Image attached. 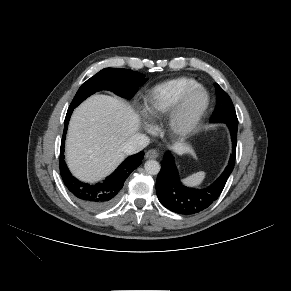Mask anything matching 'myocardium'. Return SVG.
<instances>
[{"label": "myocardium", "instance_id": "myocardium-1", "mask_svg": "<svg viewBox=\"0 0 291 291\" xmlns=\"http://www.w3.org/2000/svg\"><path fill=\"white\" fill-rule=\"evenodd\" d=\"M198 93L203 95V104L191 117L186 118L185 112L191 99ZM210 106V95L202 85L195 86L187 91L169 114L168 127L170 132L179 137L192 134L200 125Z\"/></svg>", "mask_w": 291, "mask_h": 291}]
</instances>
